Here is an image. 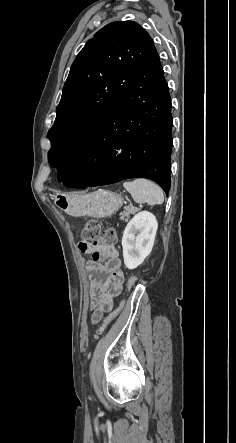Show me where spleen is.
Returning <instances> with one entry per match:
<instances>
[{
	"label": "spleen",
	"instance_id": "3e777b00",
	"mask_svg": "<svg viewBox=\"0 0 236 443\" xmlns=\"http://www.w3.org/2000/svg\"><path fill=\"white\" fill-rule=\"evenodd\" d=\"M124 188L131 194L135 202L147 203L150 206L160 205L164 202V194L161 188L150 180L138 178L124 182Z\"/></svg>",
	"mask_w": 236,
	"mask_h": 443
}]
</instances>
